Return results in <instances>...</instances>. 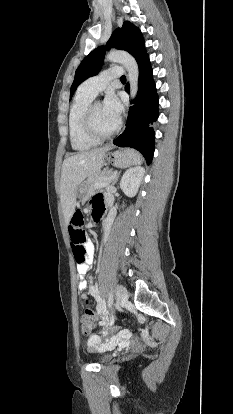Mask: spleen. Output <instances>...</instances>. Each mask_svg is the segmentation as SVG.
I'll return each mask as SVG.
<instances>
[{"label": "spleen", "instance_id": "spleen-1", "mask_svg": "<svg viewBox=\"0 0 233 414\" xmlns=\"http://www.w3.org/2000/svg\"><path fill=\"white\" fill-rule=\"evenodd\" d=\"M128 153H132L134 156H135V160H134V162H133V165H139V164H141L142 163V159H141V156L139 155V153H137L136 151H134V150H131V149H128V150H126Z\"/></svg>", "mask_w": 233, "mask_h": 414}]
</instances>
